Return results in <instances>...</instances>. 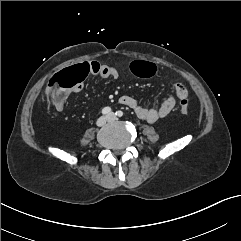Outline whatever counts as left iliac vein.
<instances>
[{"mask_svg":"<svg viewBox=\"0 0 241 241\" xmlns=\"http://www.w3.org/2000/svg\"><path fill=\"white\" fill-rule=\"evenodd\" d=\"M107 117L109 121H114L116 119V116L114 113H110Z\"/></svg>","mask_w":241,"mask_h":241,"instance_id":"1","label":"left iliac vein"}]
</instances>
